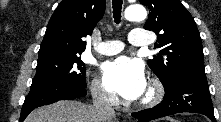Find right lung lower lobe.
Masks as SVG:
<instances>
[{
    "label": "right lung lower lobe",
    "mask_w": 221,
    "mask_h": 122,
    "mask_svg": "<svg viewBox=\"0 0 221 122\" xmlns=\"http://www.w3.org/2000/svg\"><path fill=\"white\" fill-rule=\"evenodd\" d=\"M87 94L85 87L70 84L56 85L46 88L31 89L26 96L19 122L37 107L54 103L59 100H73Z\"/></svg>",
    "instance_id": "1"
}]
</instances>
